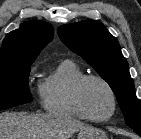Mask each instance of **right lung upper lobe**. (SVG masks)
I'll use <instances>...</instances> for the list:
<instances>
[{"instance_id": "right-lung-upper-lobe-1", "label": "right lung upper lobe", "mask_w": 141, "mask_h": 139, "mask_svg": "<svg viewBox=\"0 0 141 139\" xmlns=\"http://www.w3.org/2000/svg\"><path fill=\"white\" fill-rule=\"evenodd\" d=\"M51 24L32 20L6 35L0 49V66L32 64L40 51L52 40Z\"/></svg>"}]
</instances>
